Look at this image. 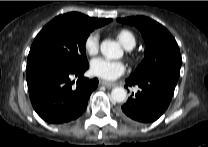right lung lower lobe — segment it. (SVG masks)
<instances>
[{
    "label": "right lung lower lobe",
    "instance_id": "right-lung-lower-lobe-1",
    "mask_svg": "<svg viewBox=\"0 0 208 147\" xmlns=\"http://www.w3.org/2000/svg\"><path fill=\"white\" fill-rule=\"evenodd\" d=\"M89 65L75 67L60 62L40 63L26 68V79L33 108L46 122L67 123L86 109L98 79L83 77ZM81 79L73 85L71 78Z\"/></svg>",
    "mask_w": 208,
    "mask_h": 147
}]
</instances>
